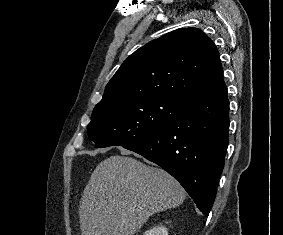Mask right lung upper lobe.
<instances>
[{
	"label": "right lung upper lobe",
	"mask_w": 283,
	"mask_h": 235,
	"mask_svg": "<svg viewBox=\"0 0 283 235\" xmlns=\"http://www.w3.org/2000/svg\"><path fill=\"white\" fill-rule=\"evenodd\" d=\"M222 84L214 42L200 29L180 28L131 54L96 106L130 97H169L182 102Z\"/></svg>",
	"instance_id": "cb5924a9"
}]
</instances>
